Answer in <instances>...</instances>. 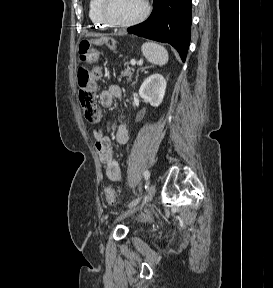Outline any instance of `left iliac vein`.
I'll return each instance as SVG.
<instances>
[{
	"mask_svg": "<svg viewBox=\"0 0 273 288\" xmlns=\"http://www.w3.org/2000/svg\"><path fill=\"white\" fill-rule=\"evenodd\" d=\"M155 193H156V187L155 185H151L148 189V192L144 196L143 200L138 205H135L131 207L130 209L126 210L125 212H122L121 214H119L117 218L115 219L114 223L119 222L125 219L126 217L132 215L133 213L137 212L138 210L142 209L153 199Z\"/></svg>",
	"mask_w": 273,
	"mask_h": 288,
	"instance_id": "obj_1",
	"label": "left iliac vein"
}]
</instances>
